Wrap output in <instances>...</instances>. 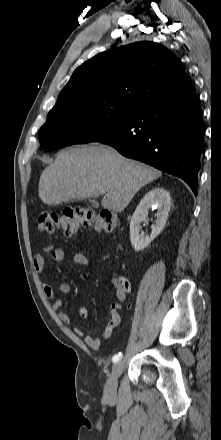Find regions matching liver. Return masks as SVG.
Wrapping results in <instances>:
<instances>
[{
    "instance_id": "liver-1",
    "label": "liver",
    "mask_w": 221,
    "mask_h": 440,
    "mask_svg": "<svg viewBox=\"0 0 221 440\" xmlns=\"http://www.w3.org/2000/svg\"><path fill=\"white\" fill-rule=\"evenodd\" d=\"M161 174L151 166L123 157L112 147L78 146L60 151L44 169L38 194L43 203L53 206L105 192L102 207L121 212L143 186Z\"/></svg>"
}]
</instances>
